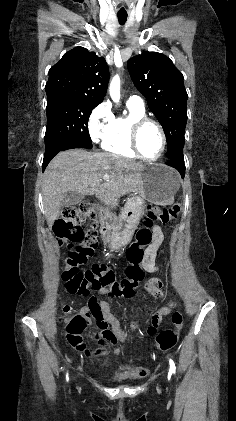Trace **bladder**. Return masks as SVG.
<instances>
[{
	"instance_id": "31cf9c89",
	"label": "bladder",
	"mask_w": 236,
	"mask_h": 421,
	"mask_svg": "<svg viewBox=\"0 0 236 421\" xmlns=\"http://www.w3.org/2000/svg\"><path fill=\"white\" fill-rule=\"evenodd\" d=\"M142 380L140 371L133 367H119L112 377L113 383L138 382Z\"/></svg>"
}]
</instances>
